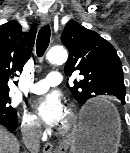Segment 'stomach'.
<instances>
[{"mask_svg":"<svg viewBox=\"0 0 130 153\" xmlns=\"http://www.w3.org/2000/svg\"><path fill=\"white\" fill-rule=\"evenodd\" d=\"M88 109L108 112L86 120L84 114ZM121 132V119L117 109L109 102L96 99L83 110L65 147L70 146L72 153H117Z\"/></svg>","mask_w":130,"mask_h":153,"instance_id":"stomach-1","label":"stomach"}]
</instances>
